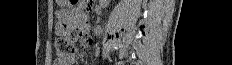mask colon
I'll use <instances>...</instances> for the list:
<instances>
[{
	"instance_id": "5ec220e1",
	"label": "colon",
	"mask_w": 232,
	"mask_h": 65,
	"mask_svg": "<svg viewBox=\"0 0 232 65\" xmlns=\"http://www.w3.org/2000/svg\"><path fill=\"white\" fill-rule=\"evenodd\" d=\"M55 47L58 60L66 58L74 51L73 42L71 40H67L65 37L58 38Z\"/></svg>"
}]
</instances>
